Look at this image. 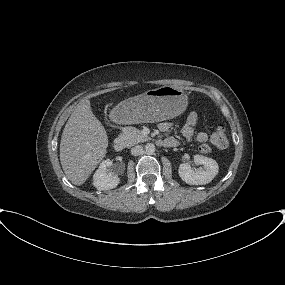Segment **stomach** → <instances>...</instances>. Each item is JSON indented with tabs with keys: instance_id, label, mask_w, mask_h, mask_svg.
Listing matches in <instances>:
<instances>
[{
	"instance_id": "1",
	"label": "stomach",
	"mask_w": 285,
	"mask_h": 285,
	"mask_svg": "<svg viewBox=\"0 0 285 285\" xmlns=\"http://www.w3.org/2000/svg\"><path fill=\"white\" fill-rule=\"evenodd\" d=\"M187 105L188 96L182 89L162 86L123 100L112 116L123 124L154 123L182 114Z\"/></svg>"
}]
</instances>
